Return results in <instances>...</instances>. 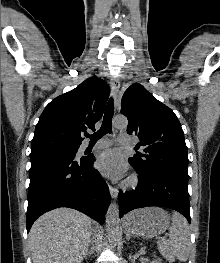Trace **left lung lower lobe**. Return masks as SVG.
<instances>
[{
    "mask_svg": "<svg viewBox=\"0 0 220 263\" xmlns=\"http://www.w3.org/2000/svg\"><path fill=\"white\" fill-rule=\"evenodd\" d=\"M136 172L139 176L137 188L119 193L120 217L136 208L161 206L180 212L190 223L188 179L163 170Z\"/></svg>",
    "mask_w": 220,
    "mask_h": 263,
    "instance_id": "1",
    "label": "left lung lower lobe"
}]
</instances>
